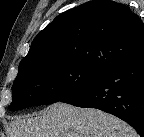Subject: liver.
<instances>
[{
    "mask_svg": "<svg viewBox=\"0 0 144 137\" xmlns=\"http://www.w3.org/2000/svg\"><path fill=\"white\" fill-rule=\"evenodd\" d=\"M9 137H138L126 122L94 108L57 102L36 116L16 117Z\"/></svg>",
    "mask_w": 144,
    "mask_h": 137,
    "instance_id": "obj_1",
    "label": "liver"
}]
</instances>
